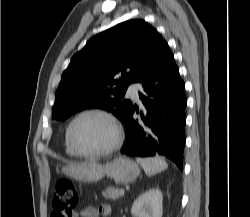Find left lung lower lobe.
Wrapping results in <instances>:
<instances>
[{
	"mask_svg": "<svg viewBox=\"0 0 250 217\" xmlns=\"http://www.w3.org/2000/svg\"><path fill=\"white\" fill-rule=\"evenodd\" d=\"M137 83L142 86L139 98L143 109L132 106L129 110L123 122L126 142L121 152L139 157L163 155L182 170L187 99L185 84L165 40ZM135 112L139 119L133 117Z\"/></svg>",
	"mask_w": 250,
	"mask_h": 217,
	"instance_id": "obj_1",
	"label": "left lung lower lobe"
}]
</instances>
